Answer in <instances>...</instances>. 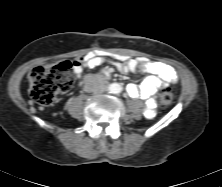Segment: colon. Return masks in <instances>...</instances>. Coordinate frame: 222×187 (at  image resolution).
Here are the masks:
<instances>
[{"mask_svg":"<svg viewBox=\"0 0 222 187\" xmlns=\"http://www.w3.org/2000/svg\"><path fill=\"white\" fill-rule=\"evenodd\" d=\"M75 63L64 61L56 65L41 64L29 73V93L31 98L41 106L54 104L57 96L67 92L74 83ZM174 96L171 91L163 90L158 96V104L168 107Z\"/></svg>","mask_w":222,"mask_h":187,"instance_id":"1","label":"colon"}]
</instances>
